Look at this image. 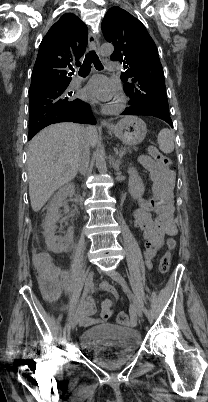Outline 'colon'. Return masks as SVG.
<instances>
[{
  "mask_svg": "<svg viewBox=\"0 0 208 402\" xmlns=\"http://www.w3.org/2000/svg\"><path fill=\"white\" fill-rule=\"evenodd\" d=\"M150 155L157 161L166 164H171V161L163 156L154 146L148 148ZM176 247V240L173 237H169L166 242V252L161 257L158 265V271L160 274L164 275L169 272L171 257L173 250ZM35 268L38 270V275L42 277L41 283L38 287L39 295H46L48 301H55L57 296L60 294V289L58 286H62L63 279L58 277L57 267L54 266L53 262H50V257L46 256L45 250H35ZM55 304L54 302L52 303ZM115 320L120 325L128 324V315L125 312H118L115 316Z\"/></svg>",
  "mask_w": 208,
  "mask_h": 402,
  "instance_id": "5ec220e1",
  "label": "colon"
}]
</instances>
